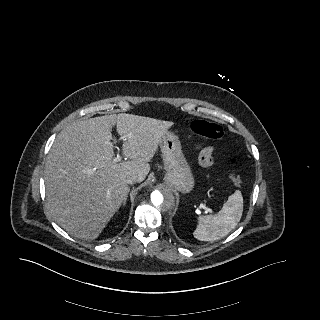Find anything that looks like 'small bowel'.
<instances>
[{
  "instance_id": "c3829d8e",
  "label": "small bowel",
  "mask_w": 320,
  "mask_h": 320,
  "mask_svg": "<svg viewBox=\"0 0 320 320\" xmlns=\"http://www.w3.org/2000/svg\"><path fill=\"white\" fill-rule=\"evenodd\" d=\"M214 148L212 146H205L199 150V161L202 166L208 167L213 163Z\"/></svg>"
}]
</instances>
